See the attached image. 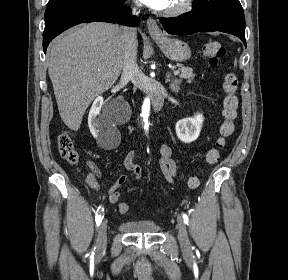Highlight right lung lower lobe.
Returning a JSON list of instances; mask_svg holds the SVG:
<instances>
[{"mask_svg": "<svg viewBox=\"0 0 288 280\" xmlns=\"http://www.w3.org/2000/svg\"><path fill=\"white\" fill-rule=\"evenodd\" d=\"M125 0H51L45 12V29L43 32V49L58 34L79 24L94 21L118 23L136 26L139 19L131 16Z\"/></svg>", "mask_w": 288, "mask_h": 280, "instance_id": "1", "label": "right lung lower lobe"}]
</instances>
